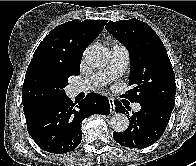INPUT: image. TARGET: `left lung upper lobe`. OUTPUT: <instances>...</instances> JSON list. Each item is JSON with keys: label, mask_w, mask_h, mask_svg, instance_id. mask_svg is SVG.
I'll return each mask as SVG.
<instances>
[{"label": "left lung upper lobe", "mask_w": 196, "mask_h": 166, "mask_svg": "<svg viewBox=\"0 0 196 166\" xmlns=\"http://www.w3.org/2000/svg\"><path fill=\"white\" fill-rule=\"evenodd\" d=\"M105 28L129 51V85L133 88L123 97L131 102L157 103L173 110L175 74L166 48L155 31L137 19L109 21Z\"/></svg>", "instance_id": "1"}]
</instances>
